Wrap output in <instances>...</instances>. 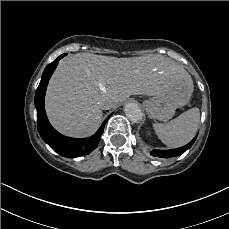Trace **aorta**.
Returning <instances> with one entry per match:
<instances>
[{
    "instance_id": "obj_1",
    "label": "aorta",
    "mask_w": 229,
    "mask_h": 229,
    "mask_svg": "<svg viewBox=\"0 0 229 229\" xmlns=\"http://www.w3.org/2000/svg\"><path fill=\"white\" fill-rule=\"evenodd\" d=\"M124 113L133 123H139L143 118V113L140 107L133 102L125 104Z\"/></svg>"
}]
</instances>
